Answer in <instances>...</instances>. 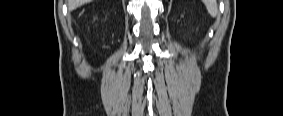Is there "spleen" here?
Segmentation results:
<instances>
[{
    "instance_id": "3e777b00",
    "label": "spleen",
    "mask_w": 283,
    "mask_h": 116,
    "mask_svg": "<svg viewBox=\"0 0 283 116\" xmlns=\"http://www.w3.org/2000/svg\"><path fill=\"white\" fill-rule=\"evenodd\" d=\"M205 5H206L208 13L212 17H216L218 14V7H217L216 0H207L205 1Z\"/></svg>"
}]
</instances>
